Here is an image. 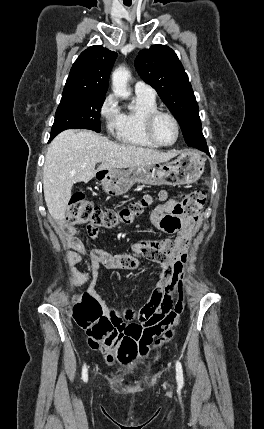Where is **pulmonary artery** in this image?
Segmentation results:
<instances>
[{"label":"pulmonary artery","instance_id":"obj_1","mask_svg":"<svg viewBox=\"0 0 264 429\" xmlns=\"http://www.w3.org/2000/svg\"><path fill=\"white\" fill-rule=\"evenodd\" d=\"M134 91L138 95H146L155 97V90L143 81H137L134 85Z\"/></svg>","mask_w":264,"mask_h":429}]
</instances>
